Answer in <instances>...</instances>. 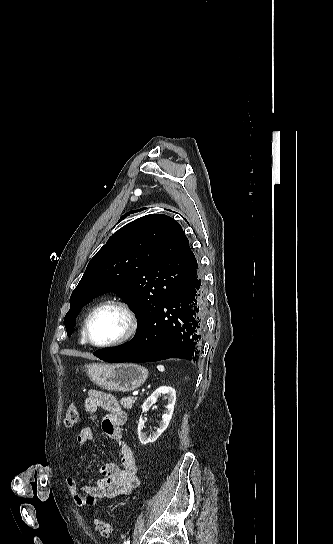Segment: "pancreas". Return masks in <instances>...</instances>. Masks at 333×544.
I'll list each match as a JSON object with an SVG mask.
<instances>
[{
  "label": "pancreas",
  "mask_w": 333,
  "mask_h": 544,
  "mask_svg": "<svg viewBox=\"0 0 333 544\" xmlns=\"http://www.w3.org/2000/svg\"><path fill=\"white\" fill-rule=\"evenodd\" d=\"M135 400L136 398L134 399L133 397H127V398H122L120 403L121 405H123L125 409L130 410L133 407Z\"/></svg>",
  "instance_id": "obj_1"
}]
</instances>
